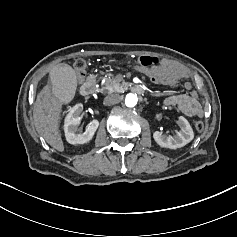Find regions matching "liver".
Masks as SVG:
<instances>
[{"label":"liver","mask_w":237,"mask_h":237,"mask_svg":"<svg viewBox=\"0 0 237 237\" xmlns=\"http://www.w3.org/2000/svg\"><path fill=\"white\" fill-rule=\"evenodd\" d=\"M48 102H44L38 96L35 102L34 124L36 131L43 136L46 142L57 151L63 152L64 145L59 133V111L60 107L53 103L50 97V91L47 88L44 91ZM52 109V114H49Z\"/></svg>","instance_id":"6515ba94"}]
</instances>
